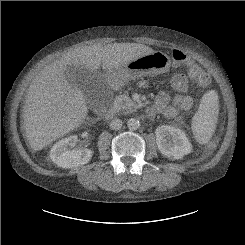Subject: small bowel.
<instances>
[{
	"mask_svg": "<svg viewBox=\"0 0 245 245\" xmlns=\"http://www.w3.org/2000/svg\"><path fill=\"white\" fill-rule=\"evenodd\" d=\"M199 68L198 65L194 66ZM192 69L188 71L187 76L183 74H176L171 78V86L176 94L173 98L161 91L157 94L153 105L147 108L146 114L149 118H153L157 114H162L167 118H174L181 112L190 109L194 103L193 98L186 94L188 85V78L191 76Z\"/></svg>",
	"mask_w": 245,
	"mask_h": 245,
	"instance_id": "small-bowel-1",
	"label": "small bowel"
}]
</instances>
